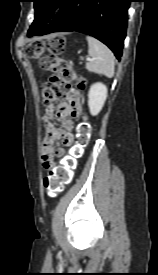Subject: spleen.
I'll return each instance as SVG.
<instances>
[{"label": "spleen", "mask_w": 158, "mask_h": 275, "mask_svg": "<svg viewBox=\"0 0 158 275\" xmlns=\"http://www.w3.org/2000/svg\"><path fill=\"white\" fill-rule=\"evenodd\" d=\"M92 62L86 64V69L90 72L105 75L112 78L115 70V58L112 51L94 37H86Z\"/></svg>", "instance_id": "spleen-1"}]
</instances>
